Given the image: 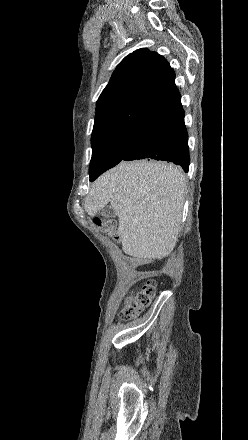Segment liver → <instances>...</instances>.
<instances>
[{
  "instance_id": "liver-1",
  "label": "liver",
  "mask_w": 248,
  "mask_h": 440,
  "mask_svg": "<svg viewBox=\"0 0 248 440\" xmlns=\"http://www.w3.org/2000/svg\"><path fill=\"white\" fill-rule=\"evenodd\" d=\"M185 187L184 173L171 163L123 161L93 183L84 206L94 216L110 202L124 252L162 259L177 243Z\"/></svg>"
}]
</instances>
